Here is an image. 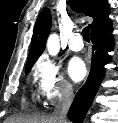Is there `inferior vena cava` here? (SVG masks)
<instances>
[{
  "label": "inferior vena cava",
  "mask_w": 118,
  "mask_h": 123,
  "mask_svg": "<svg viewBox=\"0 0 118 123\" xmlns=\"http://www.w3.org/2000/svg\"><path fill=\"white\" fill-rule=\"evenodd\" d=\"M73 100V90L70 84H64L60 89L58 102L52 116L59 123H66V115Z\"/></svg>",
  "instance_id": "602c4592"
}]
</instances>
